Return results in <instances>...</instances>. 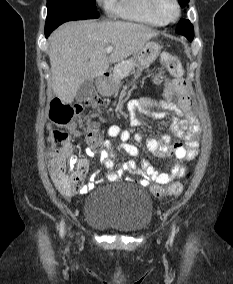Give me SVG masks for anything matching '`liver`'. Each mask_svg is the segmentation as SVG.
I'll list each match as a JSON object with an SVG mask.
<instances>
[{"label": "liver", "instance_id": "6515ba94", "mask_svg": "<svg viewBox=\"0 0 233 284\" xmlns=\"http://www.w3.org/2000/svg\"><path fill=\"white\" fill-rule=\"evenodd\" d=\"M157 31L123 21L69 22L49 37L51 86L62 103H72L81 84L100 77L110 63L137 53ZM107 46L114 49L108 57Z\"/></svg>", "mask_w": 233, "mask_h": 284}]
</instances>
